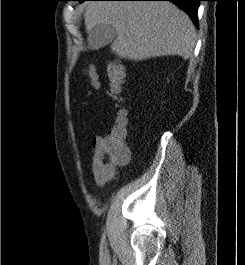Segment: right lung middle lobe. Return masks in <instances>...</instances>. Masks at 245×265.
Instances as JSON below:
<instances>
[{
  "label": "right lung middle lobe",
  "instance_id": "dd1d6c3e",
  "mask_svg": "<svg viewBox=\"0 0 245 265\" xmlns=\"http://www.w3.org/2000/svg\"><path fill=\"white\" fill-rule=\"evenodd\" d=\"M80 3L83 2V1H86V0H78Z\"/></svg>",
  "mask_w": 245,
  "mask_h": 265
}]
</instances>
